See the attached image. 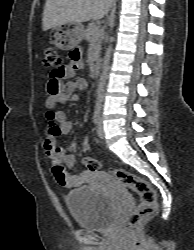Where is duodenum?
<instances>
[{
    "mask_svg": "<svg viewBox=\"0 0 194 250\" xmlns=\"http://www.w3.org/2000/svg\"><path fill=\"white\" fill-rule=\"evenodd\" d=\"M101 71V61H96L93 66V77L97 78Z\"/></svg>",
    "mask_w": 194,
    "mask_h": 250,
    "instance_id": "410a0bca",
    "label": "duodenum"
}]
</instances>
